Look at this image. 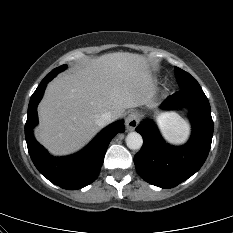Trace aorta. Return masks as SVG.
Segmentation results:
<instances>
[{
	"label": "aorta",
	"mask_w": 233,
	"mask_h": 233,
	"mask_svg": "<svg viewBox=\"0 0 233 233\" xmlns=\"http://www.w3.org/2000/svg\"><path fill=\"white\" fill-rule=\"evenodd\" d=\"M143 144L142 136L137 132H130L126 137V145L129 149L138 150Z\"/></svg>",
	"instance_id": "1"
}]
</instances>
